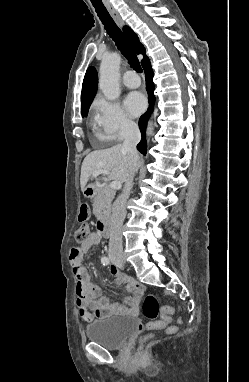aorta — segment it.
Masks as SVG:
<instances>
[{"label":"aorta","mask_w":249,"mask_h":382,"mask_svg":"<svg viewBox=\"0 0 249 382\" xmlns=\"http://www.w3.org/2000/svg\"><path fill=\"white\" fill-rule=\"evenodd\" d=\"M120 63L121 56L116 52L109 54L101 61L99 87L105 98L110 101L116 100L121 93L119 86ZM153 130V123L149 122L147 126V135H152Z\"/></svg>","instance_id":"aorta-1"}]
</instances>
